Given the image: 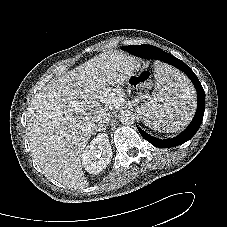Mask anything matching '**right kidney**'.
Here are the masks:
<instances>
[{"instance_id": "obj_1", "label": "right kidney", "mask_w": 227, "mask_h": 227, "mask_svg": "<svg viewBox=\"0 0 227 227\" xmlns=\"http://www.w3.org/2000/svg\"><path fill=\"white\" fill-rule=\"evenodd\" d=\"M112 158V149L108 135L98 134L82 154V165L91 174L104 170Z\"/></svg>"}]
</instances>
